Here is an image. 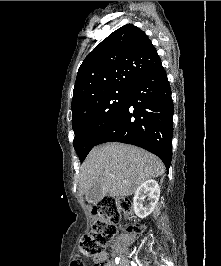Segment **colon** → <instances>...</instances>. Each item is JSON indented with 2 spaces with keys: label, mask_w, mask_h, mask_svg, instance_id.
Instances as JSON below:
<instances>
[{
  "label": "colon",
  "mask_w": 221,
  "mask_h": 266,
  "mask_svg": "<svg viewBox=\"0 0 221 266\" xmlns=\"http://www.w3.org/2000/svg\"><path fill=\"white\" fill-rule=\"evenodd\" d=\"M131 209V202L124 200L117 202L112 198L106 197L101 199L93 208L95 221L89 233L82 236L79 242V252L86 258H95L99 256L117 233V223L120 219V213H128ZM129 232H141L143 226L139 223L128 225ZM94 266H105L98 261Z\"/></svg>",
  "instance_id": "colon-1"
}]
</instances>
